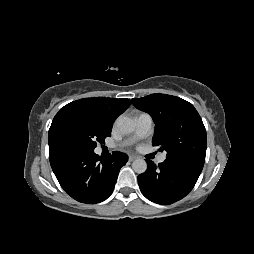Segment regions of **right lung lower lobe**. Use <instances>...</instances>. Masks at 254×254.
<instances>
[{
  "instance_id": "obj_1",
  "label": "right lung lower lobe",
  "mask_w": 254,
  "mask_h": 254,
  "mask_svg": "<svg viewBox=\"0 0 254 254\" xmlns=\"http://www.w3.org/2000/svg\"><path fill=\"white\" fill-rule=\"evenodd\" d=\"M49 154L61 187L73 199L87 204L102 202L111 195L119 171L128 160L120 152L103 158L92 149L64 143L49 145Z\"/></svg>"
}]
</instances>
